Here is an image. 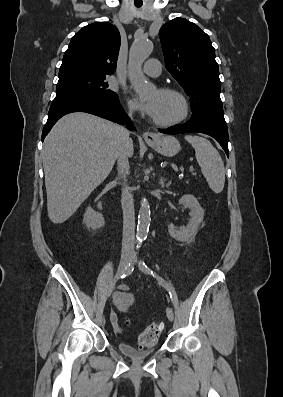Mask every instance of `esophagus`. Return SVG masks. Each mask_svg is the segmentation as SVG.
<instances>
[{
	"label": "esophagus",
	"instance_id": "esophagus-1",
	"mask_svg": "<svg viewBox=\"0 0 283 397\" xmlns=\"http://www.w3.org/2000/svg\"><path fill=\"white\" fill-rule=\"evenodd\" d=\"M143 138L146 141L150 142V141H154L157 138V135L154 132H144L143 133Z\"/></svg>",
	"mask_w": 283,
	"mask_h": 397
}]
</instances>
